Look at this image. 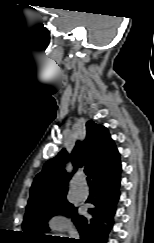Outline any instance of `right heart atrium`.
Listing matches in <instances>:
<instances>
[{
	"instance_id": "obj_1",
	"label": "right heart atrium",
	"mask_w": 154,
	"mask_h": 243,
	"mask_svg": "<svg viewBox=\"0 0 154 243\" xmlns=\"http://www.w3.org/2000/svg\"><path fill=\"white\" fill-rule=\"evenodd\" d=\"M49 227L53 230H59V229H62L63 228V223L62 221L60 220L59 217L55 216V217H52L49 222Z\"/></svg>"
}]
</instances>
